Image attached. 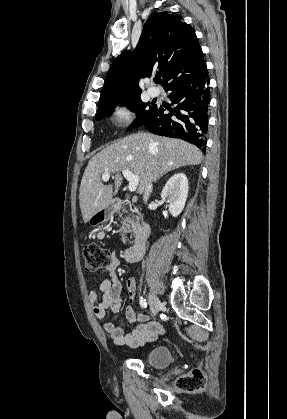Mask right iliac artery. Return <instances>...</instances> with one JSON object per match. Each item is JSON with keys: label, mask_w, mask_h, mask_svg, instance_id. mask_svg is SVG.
<instances>
[{"label": "right iliac artery", "mask_w": 287, "mask_h": 419, "mask_svg": "<svg viewBox=\"0 0 287 419\" xmlns=\"http://www.w3.org/2000/svg\"><path fill=\"white\" fill-rule=\"evenodd\" d=\"M140 305L142 308H146L147 307V302L146 299L143 297H140Z\"/></svg>", "instance_id": "obj_1"}]
</instances>
